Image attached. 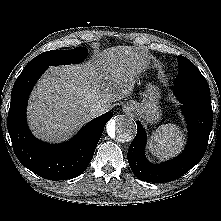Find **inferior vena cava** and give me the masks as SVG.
Wrapping results in <instances>:
<instances>
[{"mask_svg":"<svg viewBox=\"0 0 221 221\" xmlns=\"http://www.w3.org/2000/svg\"><path fill=\"white\" fill-rule=\"evenodd\" d=\"M106 108L102 104H94L90 107V113L92 116L96 117L105 112Z\"/></svg>","mask_w":221,"mask_h":221,"instance_id":"obj_1","label":"inferior vena cava"}]
</instances>
